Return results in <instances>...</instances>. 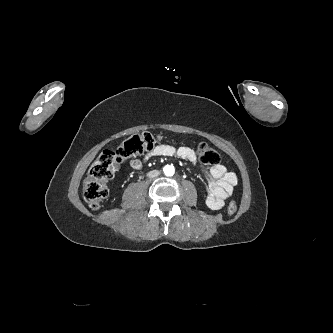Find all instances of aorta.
<instances>
[{
    "label": "aorta",
    "instance_id": "1",
    "mask_svg": "<svg viewBox=\"0 0 333 333\" xmlns=\"http://www.w3.org/2000/svg\"><path fill=\"white\" fill-rule=\"evenodd\" d=\"M163 171H164V174L166 176H173L174 173H175V169L172 165H166L164 168H163Z\"/></svg>",
    "mask_w": 333,
    "mask_h": 333
}]
</instances>
